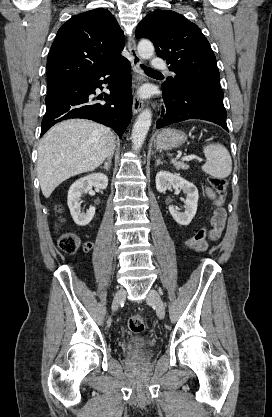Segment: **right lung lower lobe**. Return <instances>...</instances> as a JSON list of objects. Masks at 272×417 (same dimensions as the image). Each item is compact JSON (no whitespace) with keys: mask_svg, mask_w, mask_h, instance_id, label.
Wrapping results in <instances>:
<instances>
[{"mask_svg":"<svg viewBox=\"0 0 272 417\" xmlns=\"http://www.w3.org/2000/svg\"><path fill=\"white\" fill-rule=\"evenodd\" d=\"M131 81L130 63L122 56L99 72L49 86L41 136L64 119L85 118L111 127L121 138L131 120ZM102 84L111 93L95 96Z\"/></svg>","mask_w":272,"mask_h":417,"instance_id":"1","label":"right lung lower lobe"}]
</instances>
